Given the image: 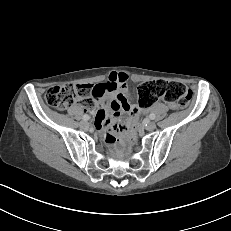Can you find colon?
I'll return each instance as SVG.
<instances>
[{
	"mask_svg": "<svg viewBox=\"0 0 231 231\" xmlns=\"http://www.w3.org/2000/svg\"><path fill=\"white\" fill-rule=\"evenodd\" d=\"M138 106L148 108L156 101L163 99L173 109H183L188 106L192 93L184 85L174 81L153 80L143 82L138 86ZM91 87L89 85L64 84L48 89L44 95L45 102L56 109L63 110L74 104L82 102L91 104ZM137 121V110L131 111L126 122L117 123V132L126 135L129 141L134 142L133 128Z\"/></svg>",
	"mask_w": 231,
	"mask_h": 231,
	"instance_id": "obj_1",
	"label": "colon"
}]
</instances>
